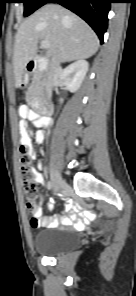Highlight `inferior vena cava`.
Returning a JSON list of instances; mask_svg holds the SVG:
<instances>
[{
	"instance_id": "602c4592",
	"label": "inferior vena cava",
	"mask_w": 136,
	"mask_h": 296,
	"mask_svg": "<svg viewBox=\"0 0 136 296\" xmlns=\"http://www.w3.org/2000/svg\"><path fill=\"white\" fill-rule=\"evenodd\" d=\"M60 61L58 58L53 57L51 59V63H50V71L48 73V78H47V82H46V97L48 100L51 99L52 97V89H51V83H52V77L54 75V73L60 71Z\"/></svg>"
}]
</instances>
